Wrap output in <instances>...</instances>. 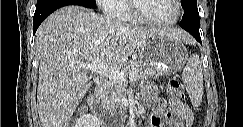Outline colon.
Masks as SVG:
<instances>
[{"instance_id": "1", "label": "colon", "mask_w": 243, "mask_h": 127, "mask_svg": "<svg viewBox=\"0 0 243 127\" xmlns=\"http://www.w3.org/2000/svg\"><path fill=\"white\" fill-rule=\"evenodd\" d=\"M169 95L173 98H178L180 100L184 99V93L181 87V83L178 78H171L169 80Z\"/></svg>"}]
</instances>
